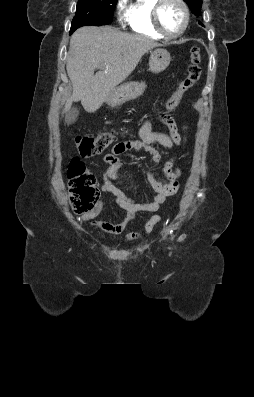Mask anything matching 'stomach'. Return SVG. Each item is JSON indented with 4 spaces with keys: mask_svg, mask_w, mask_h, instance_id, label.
Masks as SVG:
<instances>
[{
    "mask_svg": "<svg viewBox=\"0 0 254 397\" xmlns=\"http://www.w3.org/2000/svg\"><path fill=\"white\" fill-rule=\"evenodd\" d=\"M171 56L166 49L156 48L150 51L149 70L153 73L164 71L170 64ZM146 88L143 81H130L115 87L107 98V103L112 106L121 105L127 101L141 96Z\"/></svg>",
    "mask_w": 254,
    "mask_h": 397,
    "instance_id": "obj_1",
    "label": "stomach"
}]
</instances>
